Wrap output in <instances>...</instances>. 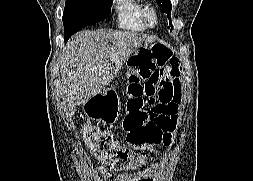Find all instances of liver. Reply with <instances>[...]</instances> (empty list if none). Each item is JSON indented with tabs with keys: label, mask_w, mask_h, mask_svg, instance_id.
I'll return each mask as SVG.
<instances>
[{
	"label": "liver",
	"mask_w": 253,
	"mask_h": 181,
	"mask_svg": "<svg viewBox=\"0 0 253 181\" xmlns=\"http://www.w3.org/2000/svg\"><path fill=\"white\" fill-rule=\"evenodd\" d=\"M154 40L133 31L106 29L84 30L73 35L59 61L67 115L72 117L77 106L99 94L135 50Z\"/></svg>",
	"instance_id": "1"
}]
</instances>
